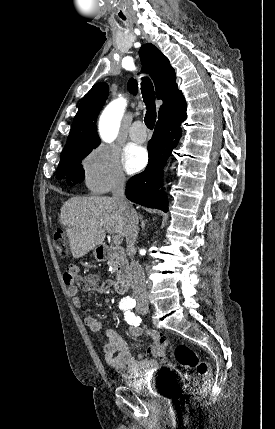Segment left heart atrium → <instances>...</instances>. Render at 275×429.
Masks as SVG:
<instances>
[{
    "label": "left heart atrium",
    "instance_id": "39dd6f15",
    "mask_svg": "<svg viewBox=\"0 0 275 429\" xmlns=\"http://www.w3.org/2000/svg\"><path fill=\"white\" fill-rule=\"evenodd\" d=\"M124 166L129 173L141 170L147 162L145 149L138 146H130L124 153Z\"/></svg>",
    "mask_w": 275,
    "mask_h": 429
}]
</instances>
